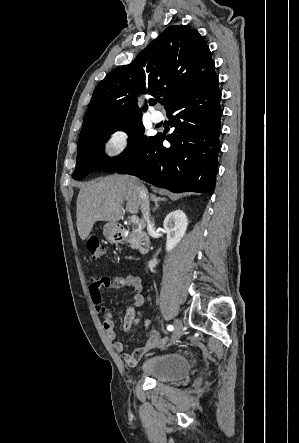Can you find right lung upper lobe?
<instances>
[{
	"instance_id": "1",
	"label": "right lung upper lobe",
	"mask_w": 299,
	"mask_h": 443,
	"mask_svg": "<svg viewBox=\"0 0 299 443\" xmlns=\"http://www.w3.org/2000/svg\"><path fill=\"white\" fill-rule=\"evenodd\" d=\"M215 65L197 30L167 27L130 64L110 72L96 87L80 137L100 127L137 118L136 94L164 95L165 109L202 86ZM156 101L150 99L153 105ZM147 106L145 107V110Z\"/></svg>"
}]
</instances>
